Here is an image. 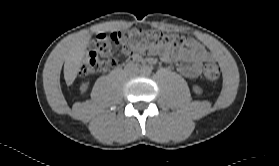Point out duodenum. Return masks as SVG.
<instances>
[{"label": "duodenum", "instance_id": "obj_1", "mask_svg": "<svg viewBox=\"0 0 279 166\" xmlns=\"http://www.w3.org/2000/svg\"><path fill=\"white\" fill-rule=\"evenodd\" d=\"M134 62V60H130V64H132Z\"/></svg>", "mask_w": 279, "mask_h": 166}]
</instances>
